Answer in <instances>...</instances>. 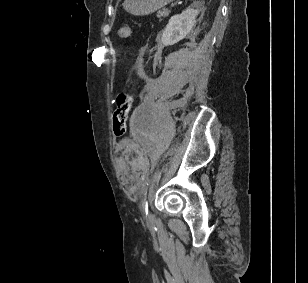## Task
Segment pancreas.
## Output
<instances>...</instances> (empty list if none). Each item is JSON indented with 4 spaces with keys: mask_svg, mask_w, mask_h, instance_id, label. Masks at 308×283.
I'll use <instances>...</instances> for the list:
<instances>
[{
    "mask_svg": "<svg viewBox=\"0 0 308 283\" xmlns=\"http://www.w3.org/2000/svg\"><path fill=\"white\" fill-rule=\"evenodd\" d=\"M169 15L168 10H161L158 12L157 17L161 20L163 17H167Z\"/></svg>",
    "mask_w": 308,
    "mask_h": 283,
    "instance_id": "1",
    "label": "pancreas"
}]
</instances>
